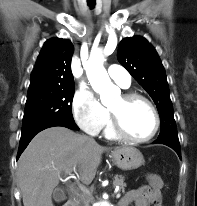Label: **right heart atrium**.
I'll return each instance as SVG.
<instances>
[{
    "label": "right heart atrium",
    "mask_w": 197,
    "mask_h": 206,
    "mask_svg": "<svg viewBox=\"0 0 197 206\" xmlns=\"http://www.w3.org/2000/svg\"><path fill=\"white\" fill-rule=\"evenodd\" d=\"M72 112L78 126L90 135L98 134L108 119L107 109L86 87L75 92Z\"/></svg>",
    "instance_id": "right-heart-atrium-1"
}]
</instances>
